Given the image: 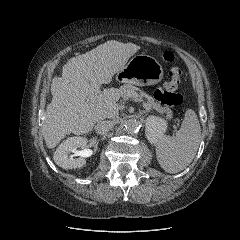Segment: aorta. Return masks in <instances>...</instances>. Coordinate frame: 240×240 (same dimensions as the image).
Masks as SVG:
<instances>
[{
    "instance_id": "aorta-1",
    "label": "aorta",
    "mask_w": 240,
    "mask_h": 240,
    "mask_svg": "<svg viewBox=\"0 0 240 240\" xmlns=\"http://www.w3.org/2000/svg\"><path fill=\"white\" fill-rule=\"evenodd\" d=\"M125 128L130 134L136 133L139 130V122L136 119H128L125 122Z\"/></svg>"
}]
</instances>
